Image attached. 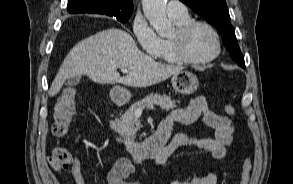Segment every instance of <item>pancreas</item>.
I'll return each instance as SVG.
<instances>
[{
  "mask_svg": "<svg viewBox=\"0 0 293 184\" xmlns=\"http://www.w3.org/2000/svg\"><path fill=\"white\" fill-rule=\"evenodd\" d=\"M153 105L160 106L161 109L166 111L176 108V102L171 100L169 96L152 93L144 99L132 104L120 119H116L115 124L118 134H120L127 141L134 142L136 133L141 127L140 121H138L135 117V112L139 108L143 109Z\"/></svg>",
  "mask_w": 293,
  "mask_h": 184,
  "instance_id": "cf45deb5",
  "label": "pancreas"
}]
</instances>
